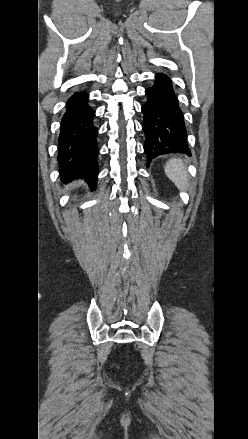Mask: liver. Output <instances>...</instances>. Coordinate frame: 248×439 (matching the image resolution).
<instances>
[{
    "label": "liver",
    "mask_w": 248,
    "mask_h": 439,
    "mask_svg": "<svg viewBox=\"0 0 248 439\" xmlns=\"http://www.w3.org/2000/svg\"><path fill=\"white\" fill-rule=\"evenodd\" d=\"M75 186H76V183H72L70 186L67 187V189H69V188H73V187H75Z\"/></svg>",
    "instance_id": "1"
}]
</instances>
